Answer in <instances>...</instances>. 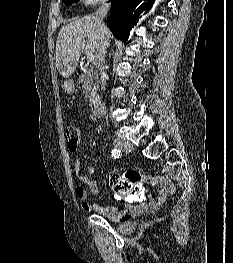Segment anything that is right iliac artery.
Returning a JSON list of instances; mask_svg holds the SVG:
<instances>
[{
	"mask_svg": "<svg viewBox=\"0 0 233 263\" xmlns=\"http://www.w3.org/2000/svg\"><path fill=\"white\" fill-rule=\"evenodd\" d=\"M111 155H112L113 158L117 159V158L120 157L121 152H120L119 149H113V150L111 151Z\"/></svg>",
	"mask_w": 233,
	"mask_h": 263,
	"instance_id": "1",
	"label": "right iliac artery"
}]
</instances>
